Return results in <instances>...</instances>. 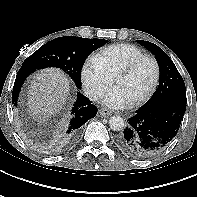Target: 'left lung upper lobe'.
Wrapping results in <instances>:
<instances>
[{
    "label": "left lung upper lobe",
    "mask_w": 197,
    "mask_h": 197,
    "mask_svg": "<svg viewBox=\"0 0 197 197\" xmlns=\"http://www.w3.org/2000/svg\"><path fill=\"white\" fill-rule=\"evenodd\" d=\"M141 45H144L154 55L160 67L159 85L152 97L143 106H147L161 97L177 91H186L185 83L182 76L175 67L170 57L157 45L144 41L138 40Z\"/></svg>",
    "instance_id": "1"
}]
</instances>
